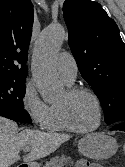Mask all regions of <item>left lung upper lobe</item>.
<instances>
[{"instance_id":"5c2ea615","label":"left lung upper lobe","mask_w":125,"mask_h":167,"mask_svg":"<svg viewBox=\"0 0 125 167\" xmlns=\"http://www.w3.org/2000/svg\"><path fill=\"white\" fill-rule=\"evenodd\" d=\"M63 15L72 54L103 105L105 122H125V44L118 26L90 0H65Z\"/></svg>"}]
</instances>
